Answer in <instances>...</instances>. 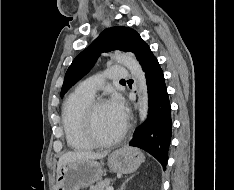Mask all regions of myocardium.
<instances>
[{
  "instance_id": "f54148a6",
  "label": "myocardium",
  "mask_w": 234,
  "mask_h": 190,
  "mask_svg": "<svg viewBox=\"0 0 234 190\" xmlns=\"http://www.w3.org/2000/svg\"><path fill=\"white\" fill-rule=\"evenodd\" d=\"M104 103H106V101L103 98L92 99L84 111V127L86 134L90 141L97 146H110L117 143L124 137L128 128L127 125L124 124L122 129L110 138H101L98 136L94 126V114L96 109Z\"/></svg>"
}]
</instances>
